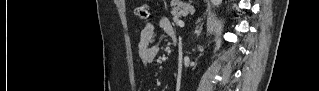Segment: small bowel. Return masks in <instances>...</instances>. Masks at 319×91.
Segmentation results:
<instances>
[{
  "label": "small bowel",
  "mask_w": 319,
  "mask_h": 91,
  "mask_svg": "<svg viewBox=\"0 0 319 91\" xmlns=\"http://www.w3.org/2000/svg\"><path fill=\"white\" fill-rule=\"evenodd\" d=\"M160 32H163L170 37L175 35V31L169 18L163 17L159 19L157 24H146L140 33L138 55L141 62L145 65L154 63L158 56L159 47L156 44V38Z\"/></svg>",
  "instance_id": "c3829d8e"
}]
</instances>
